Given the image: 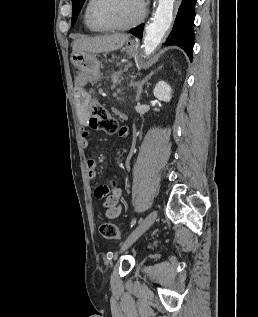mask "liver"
<instances>
[{
    "label": "liver",
    "instance_id": "6515ba94",
    "mask_svg": "<svg viewBox=\"0 0 258 317\" xmlns=\"http://www.w3.org/2000/svg\"><path fill=\"white\" fill-rule=\"evenodd\" d=\"M130 34L124 32H115V34H104V36H81L75 38L72 42V54L79 50H87V52H110V50H118L128 40Z\"/></svg>",
    "mask_w": 258,
    "mask_h": 317
}]
</instances>
